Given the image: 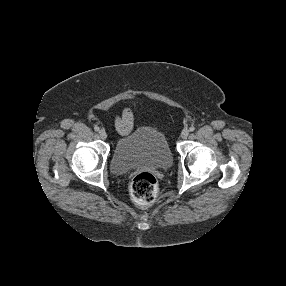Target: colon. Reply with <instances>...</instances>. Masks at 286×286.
Wrapping results in <instances>:
<instances>
[{"mask_svg":"<svg viewBox=\"0 0 286 286\" xmlns=\"http://www.w3.org/2000/svg\"><path fill=\"white\" fill-rule=\"evenodd\" d=\"M130 193L133 200L138 204H151L158 195L156 178L149 172L137 174L131 182Z\"/></svg>","mask_w":286,"mask_h":286,"instance_id":"colon-1","label":"colon"}]
</instances>
